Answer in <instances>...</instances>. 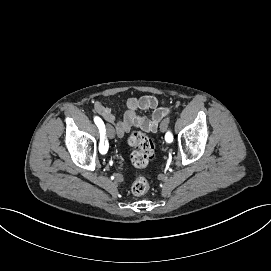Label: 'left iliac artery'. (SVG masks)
I'll return each instance as SVG.
<instances>
[{"label":"left iliac artery","instance_id":"left-iliac-artery-1","mask_svg":"<svg viewBox=\"0 0 271 271\" xmlns=\"http://www.w3.org/2000/svg\"><path fill=\"white\" fill-rule=\"evenodd\" d=\"M170 133V132H169ZM166 134L165 140L167 143L172 144L173 143V135L172 134Z\"/></svg>","mask_w":271,"mask_h":271}]
</instances>
